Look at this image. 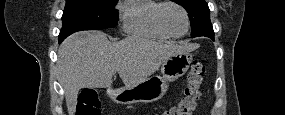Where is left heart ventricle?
<instances>
[{
    "label": "left heart ventricle",
    "instance_id": "1",
    "mask_svg": "<svg viewBox=\"0 0 285 115\" xmlns=\"http://www.w3.org/2000/svg\"><path fill=\"white\" fill-rule=\"evenodd\" d=\"M162 19L167 29L173 34H181L186 29L183 12L175 6H167L162 12Z\"/></svg>",
    "mask_w": 285,
    "mask_h": 115
}]
</instances>
